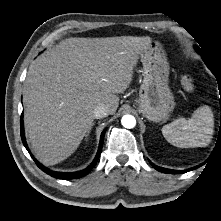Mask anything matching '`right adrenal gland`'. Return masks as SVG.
Segmentation results:
<instances>
[{"instance_id":"right-adrenal-gland-1","label":"right adrenal gland","mask_w":221,"mask_h":221,"mask_svg":"<svg viewBox=\"0 0 221 221\" xmlns=\"http://www.w3.org/2000/svg\"><path fill=\"white\" fill-rule=\"evenodd\" d=\"M94 125V123H92V125L90 126V128H89V130H88V132H87V134H86V137H88L89 136V134H90V132H91V129H92V126Z\"/></svg>"}]
</instances>
